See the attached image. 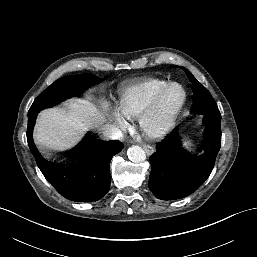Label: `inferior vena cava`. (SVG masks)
<instances>
[{
	"label": "inferior vena cava",
	"instance_id": "inferior-vena-cava-1",
	"mask_svg": "<svg viewBox=\"0 0 257 257\" xmlns=\"http://www.w3.org/2000/svg\"><path fill=\"white\" fill-rule=\"evenodd\" d=\"M108 134L113 139H120L122 137L121 130H119L118 128H115V127H109Z\"/></svg>",
	"mask_w": 257,
	"mask_h": 257
}]
</instances>
